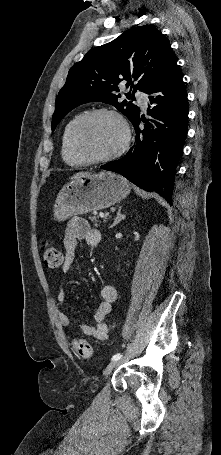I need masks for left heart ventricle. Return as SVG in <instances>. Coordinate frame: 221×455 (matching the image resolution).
Listing matches in <instances>:
<instances>
[{"label":"left heart ventricle","mask_w":221,"mask_h":455,"mask_svg":"<svg viewBox=\"0 0 221 455\" xmlns=\"http://www.w3.org/2000/svg\"><path fill=\"white\" fill-rule=\"evenodd\" d=\"M120 122L110 115H99L89 119L81 128L79 141L90 157L106 156L117 150L123 142Z\"/></svg>","instance_id":"b2bd125f"}]
</instances>
